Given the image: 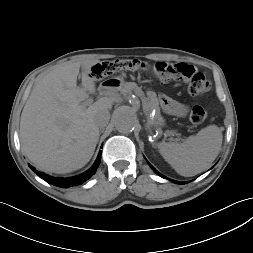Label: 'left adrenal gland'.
Segmentation results:
<instances>
[{"label":"left adrenal gland","mask_w":253,"mask_h":253,"mask_svg":"<svg viewBox=\"0 0 253 253\" xmlns=\"http://www.w3.org/2000/svg\"><path fill=\"white\" fill-rule=\"evenodd\" d=\"M146 129L149 130V132H151V128H150V125L148 123L146 124Z\"/></svg>","instance_id":"1"}]
</instances>
